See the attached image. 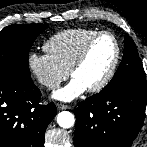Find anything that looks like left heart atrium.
<instances>
[{"label": "left heart atrium", "mask_w": 147, "mask_h": 147, "mask_svg": "<svg viewBox=\"0 0 147 147\" xmlns=\"http://www.w3.org/2000/svg\"><path fill=\"white\" fill-rule=\"evenodd\" d=\"M87 90V87L77 78H72L65 86L53 93V98L63 102H70Z\"/></svg>", "instance_id": "left-heart-atrium-1"}]
</instances>
